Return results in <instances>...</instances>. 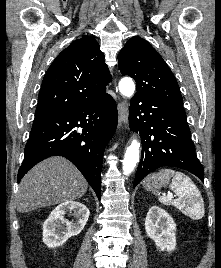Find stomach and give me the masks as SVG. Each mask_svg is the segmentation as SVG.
I'll list each match as a JSON object with an SVG mask.
<instances>
[{
    "mask_svg": "<svg viewBox=\"0 0 221 268\" xmlns=\"http://www.w3.org/2000/svg\"><path fill=\"white\" fill-rule=\"evenodd\" d=\"M170 177L165 173H155L144 180L143 186L146 190H158L169 183Z\"/></svg>",
    "mask_w": 221,
    "mask_h": 268,
    "instance_id": "obj_1",
    "label": "stomach"
}]
</instances>
